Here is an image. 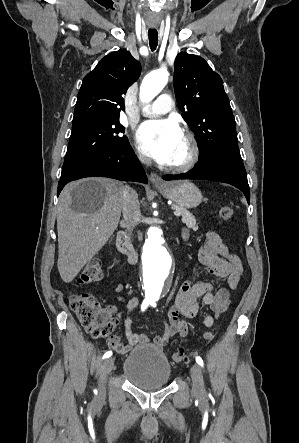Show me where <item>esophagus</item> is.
I'll list each match as a JSON object with an SVG mask.
<instances>
[{
    "label": "esophagus",
    "mask_w": 299,
    "mask_h": 443,
    "mask_svg": "<svg viewBox=\"0 0 299 443\" xmlns=\"http://www.w3.org/2000/svg\"><path fill=\"white\" fill-rule=\"evenodd\" d=\"M150 181L154 186H164V182L160 176L154 172H151L150 174Z\"/></svg>",
    "instance_id": "1"
}]
</instances>
